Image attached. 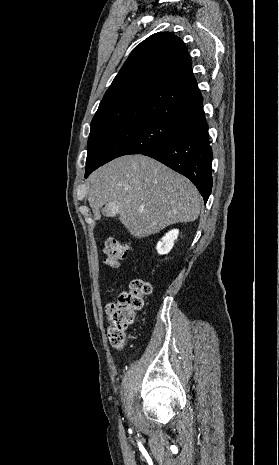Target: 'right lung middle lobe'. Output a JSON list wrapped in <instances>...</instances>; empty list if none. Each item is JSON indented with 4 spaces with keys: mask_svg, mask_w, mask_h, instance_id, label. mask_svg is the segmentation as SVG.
<instances>
[{
    "mask_svg": "<svg viewBox=\"0 0 279 465\" xmlns=\"http://www.w3.org/2000/svg\"><path fill=\"white\" fill-rule=\"evenodd\" d=\"M176 123L155 119L126 120L91 128L86 172L127 154H141L165 140Z\"/></svg>",
    "mask_w": 279,
    "mask_h": 465,
    "instance_id": "right-lung-middle-lobe-1",
    "label": "right lung middle lobe"
}]
</instances>
